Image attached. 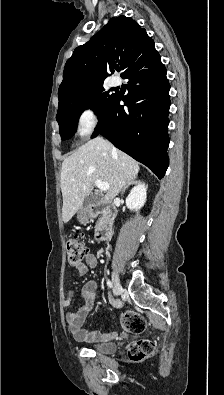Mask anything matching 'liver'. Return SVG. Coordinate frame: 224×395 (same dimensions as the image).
<instances>
[{
    "mask_svg": "<svg viewBox=\"0 0 224 395\" xmlns=\"http://www.w3.org/2000/svg\"><path fill=\"white\" fill-rule=\"evenodd\" d=\"M139 164L126 153L116 149L102 137L89 140L64 159L60 174L63 197L62 218L70 221L92 192L95 181L109 184L103 198L111 202L119 192L136 178Z\"/></svg>",
    "mask_w": 224,
    "mask_h": 395,
    "instance_id": "obj_1",
    "label": "liver"
}]
</instances>
